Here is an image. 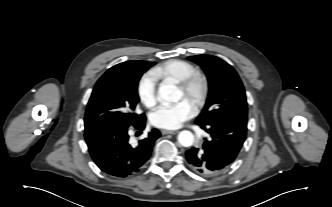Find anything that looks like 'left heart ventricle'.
<instances>
[{
  "label": "left heart ventricle",
  "instance_id": "left-heart-ventricle-1",
  "mask_svg": "<svg viewBox=\"0 0 332 207\" xmlns=\"http://www.w3.org/2000/svg\"><path fill=\"white\" fill-rule=\"evenodd\" d=\"M184 95H183V93H182V91L180 90V88H179V98H182Z\"/></svg>",
  "mask_w": 332,
  "mask_h": 207
}]
</instances>
